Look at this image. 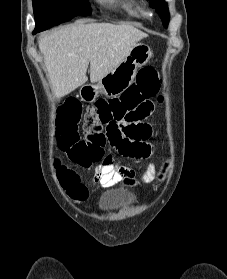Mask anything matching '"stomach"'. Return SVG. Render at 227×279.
Returning <instances> with one entry per match:
<instances>
[{
  "mask_svg": "<svg viewBox=\"0 0 227 279\" xmlns=\"http://www.w3.org/2000/svg\"><path fill=\"white\" fill-rule=\"evenodd\" d=\"M152 57L151 47L137 42L126 58L97 83L85 84L80 88L81 100L93 102L99 93L115 97L123 93L134 81L137 69L146 65Z\"/></svg>",
  "mask_w": 227,
  "mask_h": 279,
  "instance_id": "obj_1",
  "label": "stomach"
}]
</instances>
